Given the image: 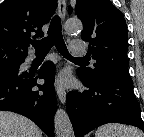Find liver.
I'll return each instance as SVG.
<instances>
[{
    "label": "liver",
    "instance_id": "1",
    "mask_svg": "<svg viewBox=\"0 0 144 137\" xmlns=\"http://www.w3.org/2000/svg\"><path fill=\"white\" fill-rule=\"evenodd\" d=\"M0 137H42V131L24 116L0 111Z\"/></svg>",
    "mask_w": 144,
    "mask_h": 137
}]
</instances>
